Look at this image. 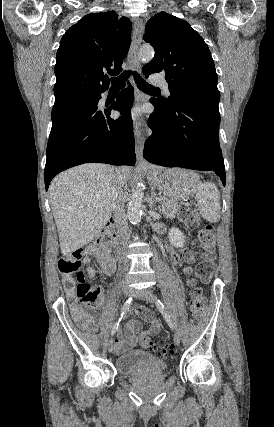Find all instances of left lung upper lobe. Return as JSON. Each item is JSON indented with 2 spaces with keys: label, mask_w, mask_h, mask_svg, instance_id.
I'll list each match as a JSON object with an SVG mask.
<instances>
[{
  "label": "left lung upper lobe",
  "mask_w": 274,
  "mask_h": 427,
  "mask_svg": "<svg viewBox=\"0 0 274 427\" xmlns=\"http://www.w3.org/2000/svg\"><path fill=\"white\" fill-rule=\"evenodd\" d=\"M145 42L155 49L152 61L143 73H165L169 83V99L165 104L181 100H197L218 105L220 93L217 74L207 44L184 20L160 12L145 26Z\"/></svg>",
  "instance_id": "left-lung-upper-lobe-1"
}]
</instances>
